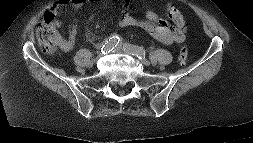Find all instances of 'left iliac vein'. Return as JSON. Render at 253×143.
<instances>
[{"label":"left iliac vein","instance_id":"1","mask_svg":"<svg viewBox=\"0 0 253 143\" xmlns=\"http://www.w3.org/2000/svg\"><path fill=\"white\" fill-rule=\"evenodd\" d=\"M123 51L127 54H131L133 53V49H132V45H127L126 47L123 48ZM141 62L148 66L150 64V62L148 60H146L145 58L141 59Z\"/></svg>","mask_w":253,"mask_h":143}]
</instances>
